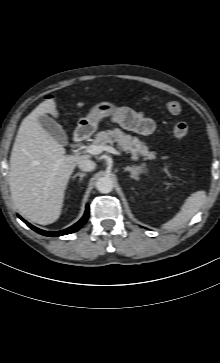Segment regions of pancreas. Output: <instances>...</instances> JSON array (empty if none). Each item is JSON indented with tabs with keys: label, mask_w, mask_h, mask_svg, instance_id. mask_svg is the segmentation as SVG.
Listing matches in <instances>:
<instances>
[{
	"label": "pancreas",
	"mask_w": 220,
	"mask_h": 363,
	"mask_svg": "<svg viewBox=\"0 0 220 363\" xmlns=\"http://www.w3.org/2000/svg\"><path fill=\"white\" fill-rule=\"evenodd\" d=\"M93 142L101 146H107L108 144L117 142L118 148L130 153L135 160L139 159L140 156H144V160L156 159V153L149 151L145 142H141L138 138L124 133L119 128L97 133Z\"/></svg>",
	"instance_id": "obj_1"
}]
</instances>
